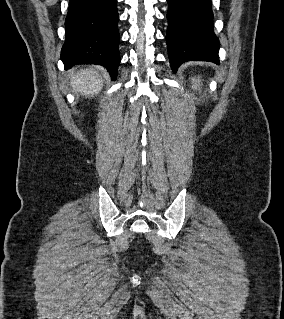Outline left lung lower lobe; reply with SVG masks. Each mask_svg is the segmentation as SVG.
I'll return each mask as SVG.
<instances>
[{
  "label": "left lung lower lobe",
  "instance_id": "left-lung-lower-lobe-1",
  "mask_svg": "<svg viewBox=\"0 0 284 319\" xmlns=\"http://www.w3.org/2000/svg\"><path fill=\"white\" fill-rule=\"evenodd\" d=\"M166 34L171 69L186 61L219 64V40L213 32L211 0H167Z\"/></svg>",
  "mask_w": 284,
  "mask_h": 319
}]
</instances>
